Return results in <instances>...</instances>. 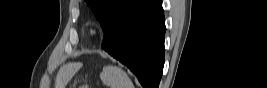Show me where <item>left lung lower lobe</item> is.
Here are the masks:
<instances>
[{"label": "left lung lower lobe", "instance_id": "0a47b994", "mask_svg": "<svg viewBox=\"0 0 267 88\" xmlns=\"http://www.w3.org/2000/svg\"><path fill=\"white\" fill-rule=\"evenodd\" d=\"M164 35L161 0H138L105 33L102 47L125 64L144 88H158L164 65Z\"/></svg>", "mask_w": 267, "mask_h": 88}]
</instances>
